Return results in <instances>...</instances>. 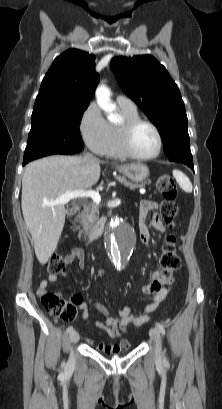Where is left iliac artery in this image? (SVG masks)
I'll use <instances>...</instances> for the list:
<instances>
[{"instance_id":"left-iliac-artery-1","label":"left iliac artery","mask_w":222,"mask_h":409,"mask_svg":"<svg viewBox=\"0 0 222 409\" xmlns=\"http://www.w3.org/2000/svg\"><path fill=\"white\" fill-rule=\"evenodd\" d=\"M156 327L158 328V330H159L163 335H165V328H164V326H163L162 324L157 323V324H156Z\"/></svg>"}]
</instances>
